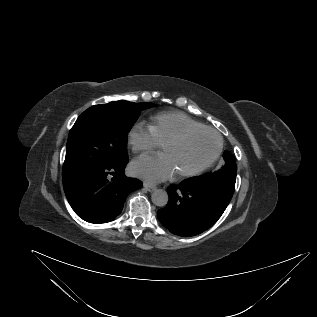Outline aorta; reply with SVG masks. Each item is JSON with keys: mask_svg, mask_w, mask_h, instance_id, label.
<instances>
[{"mask_svg": "<svg viewBox=\"0 0 317 317\" xmlns=\"http://www.w3.org/2000/svg\"><path fill=\"white\" fill-rule=\"evenodd\" d=\"M151 199H152L153 204H155L156 206L164 207L167 205L169 197H168V193L165 190L156 189L152 193Z\"/></svg>", "mask_w": 317, "mask_h": 317, "instance_id": "762f6f07", "label": "aorta"}]
</instances>
